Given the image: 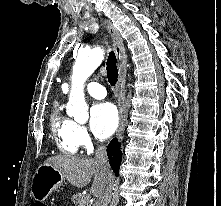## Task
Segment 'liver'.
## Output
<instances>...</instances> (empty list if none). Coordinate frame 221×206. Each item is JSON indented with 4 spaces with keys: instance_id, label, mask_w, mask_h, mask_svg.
I'll list each match as a JSON object with an SVG mask.
<instances>
[{
    "instance_id": "1",
    "label": "liver",
    "mask_w": 221,
    "mask_h": 206,
    "mask_svg": "<svg viewBox=\"0 0 221 206\" xmlns=\"http://www.w3.org/2000/svg\"><path fill=\"white\" fill-rule=\"evenodd\" d=\"M45 163L61 171L65 179L79 188L89 184L92 176H94L90 193L95 197L101 194L105 175L100 164L95 159L72 155H57L48 158Z\"/></svg>"
}]
</instances>
